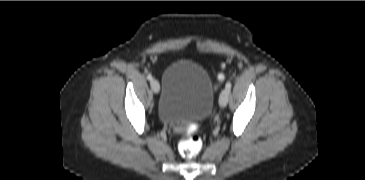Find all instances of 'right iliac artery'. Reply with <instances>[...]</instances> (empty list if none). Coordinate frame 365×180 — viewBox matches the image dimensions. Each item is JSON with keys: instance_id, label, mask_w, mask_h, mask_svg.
Returning a JSON list of instances; mask_svg holds the SVG:
<instances>
[{"instance_id": "right-iliac-artery-1", "label": "right iliac artery", "mask_w": 365, "mask_h": 180, "mask_svg": "<svg viewBox=\"0 0 365 180\" xmlns=\"http://www.w3.org/2000/svg\"><path fill=\"white\" fill-rule=\"evenodd\" d=\"M147 79H148L149 81L153 80L152 75H151V74H148V75H147Z\"/></svg>"}]
</instances>
